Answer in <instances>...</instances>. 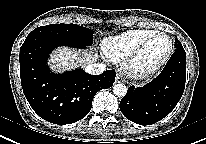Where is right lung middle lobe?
Instances as JSON below:
<instances>
[{"label": "right lung middle lobe", "instance_id": "1", "mask_svg": "<svg viewBox=\"0 0 206 144\" xmlns=\"http://www.w3.org/2000/svg\"><path fill=\"white\" fill-rule=\"evenodd\" d=\"M34 36H45L84 47L93 43V31L77 24H51L38 27L27 38Z\"/></svg>", "mask_w": 206, "mask_h": 144}]
</instances>
